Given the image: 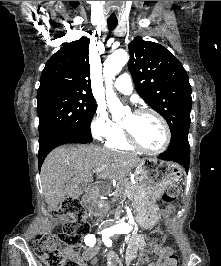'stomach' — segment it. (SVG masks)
Wrapping results in <instances>:
<instances>
[{"mask_svg":"<svg viewBox=\"0 0 221 266\" xmlns=\"http://www.w3.org/2000/svg\"><path fill=\"white\" fill-rule=\"evenodd\" d=\"M181 176L182 170L178 165L157 158L147 157L137 164L135 170L137 190L132 202L144 223L158 218L154 200L160 198L167 187L178 182Z\"/></svg>","mask_w":221,"mask_h":266,"instance_id":"obj_1","label":"stomach"}]
</instances>
